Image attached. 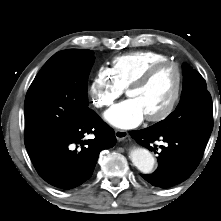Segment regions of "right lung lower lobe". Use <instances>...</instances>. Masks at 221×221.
Segmentation results:
<instances>
[{
    "instance_id": "right-lung-lower-lobe-1",
    "label": "right lung lower lobe",
    "mask_w": 221,
    "mask_h": 221,
    "mask_svg": "<svg viewBox=\"0 0 221 221\" xmlns=\"http://www.w3.org/2000/svg\"><path fill=\"white\" fill-rule=\"evenodd\" d=\"M93 133L94 139L83 138ZM116 144L114 131L94 112L71 132L25 138V146L38 174L61 189L75 188L88 180L101 150Z\"/></svg>"
}]
</instances>
